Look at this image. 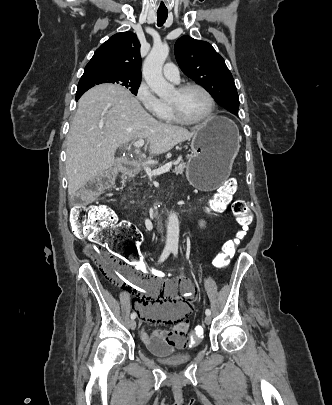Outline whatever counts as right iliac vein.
I'll list each match as a JSON object with an SVG mask.
<instances>
[{"instance_id":"right-iliac-vein-1","label":"right iliac vein","mask_w":332,"mask_h":405,"mask_svg":"<svg viewBox=\"0 0 332 405\" xmlns=\"http://www.w3.org/2000/svg\"><path fill=\"white\" fill-rule=\"evenodd\" d=\"M129 327H130L131 330H134L136 328V321L134 319H132L129 322Z\"/></svg>"}]
</instances>
